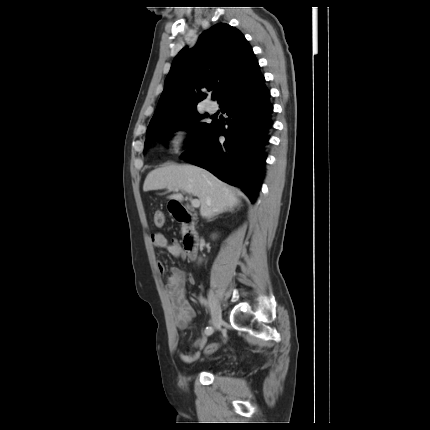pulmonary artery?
I'll return each mask as SVG.
<instances>
[{
	"label": "pulmonary artery",
	"instance_id": "pulmonary-artery-1",
	"mask_svg": "<svg viewBox=\"0 0 430 430\" xmlns=\"http://www.w3.org/2000/svg\"><path fill=\"white\" fill-rule=\"evenodd\" d=\"M206 108L210 112H214L217 109V107H216V105L214 103H208L207 106H206Z\"/></svg>",
	"mask_w": 430,
	"mask_h": 430
}]
</instances>
